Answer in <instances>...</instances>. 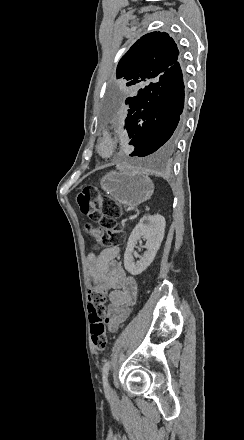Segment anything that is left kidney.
Instances as JSON below:
<instances>
[{
	"label": "left kidney",
	"mask_w": 244,
	"mask_h": 440,
	"mask_svg": "<svg viewBox=\"0 0 244 440\" xmlns=\"http://www.w3.org/2000/svg\"><path fill=\"white\" fill-rule=\"evenodd\" d=\"M165 224V218L160 214H155V216L141 218L139 224L132 230L124 254V266L129 274L138 276L153 262L164 238ZM141 238L147 240L145 244L146 252H144V256H138L140 260L135 262L133 252L138 240H141Z\"/></svg>",
	"instance_id": "5707ae66"
}]
</instances>
